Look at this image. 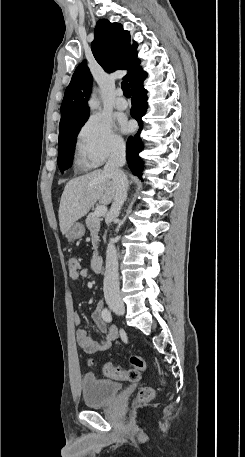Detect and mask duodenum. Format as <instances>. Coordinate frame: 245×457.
<instances>
[{
  "instance_id": "410a0bca",
  "label": "duodenum",
  "mask_w": 245,
  "mask_h": 457,
  "mask_svg": "<svg viewBox=\"0 0 245 457\" xmlns=\"http://www.w3.org/2000/svg\"><path fill=\"white\" fill-rule=\"evenodd\" d=\"M102 264H103V258L101 255L93 256L91 265H92V269L95 272H99L101 270Z\"/></svg>"
}]
</instances>
